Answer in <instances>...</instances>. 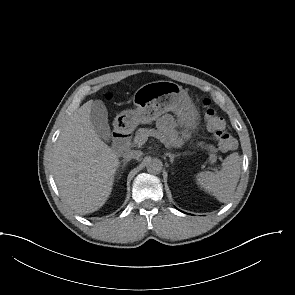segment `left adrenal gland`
Listing matches in <instances>:
<instances>
[{"label": "left adrenal gland", "mask_w": 295, "mask_h": 295, "mask_svg": "<svg viewBox=\"0 0 295 295\" xmlns=\"http://www.w3.org/2000/svg\"><path fill=\"white\" fill-rule=\"evenodd\" d=\"M166 156H168L170 158V162L172 164L173 161H174V158L177 157V156H179V154L166 153Z\"/></svg>", "instance_id": "left-adrenal-gland-1"}]
</instances>
